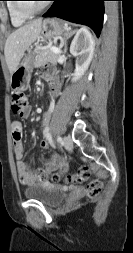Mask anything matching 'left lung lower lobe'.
Returning <instances> with one entry per match:
<instances>
[{"mask_svg":"<svg viewBox=\"0 0 133 253\" xmlns=\"http://www.w3.org/2000/svg\"><path fill=\"white\" fill-rule=\"evenodd\" d=\"M51 8L43 17H58L70 22L80 23L93 29L100 35L105 0H52Z\"/></svg>","mask_w":133,"mask_h":253,"instance_id":"obj_1","label":"left lung lower lobe"}]
</instances>
